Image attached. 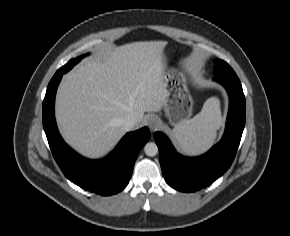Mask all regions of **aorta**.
Wrapping results in <instances>:
<instances>
[{"label": "aorta", "instance_id": "762f6f07", "mask_svg": "<svg viewBox=\"0 0 290 236\" xmlns=\"http://www.w3.org/2000/svg\"><path fill=\"white\" fill-rule=\"evenodd\" d=\"M144 152L147 156L153 157L158 153V146L154 142H148L144 146Z\"/></svg>", "mask_w": 290, "mask_h": 236}]
</instances>
